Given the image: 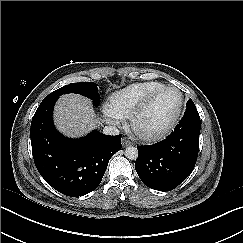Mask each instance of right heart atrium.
Masks as SVG:
<instances>
[{
    "mask_svg": "<svg viewBox=\"0 0 243 243\" xmlns=\"http://www.w3.org/2000/svg\"><path fill=\"white\" fill-rule=\"evenodd\" d=\"M104 117L107 121L112 126H119L122 122V117L115 113L112 109L105 107L103 109Z\"/></svg>",
    "mask_w": 243,
    "mask_h": 243,
    "instance_id": "obj_1",
    "label": "right heart atrium"
}]
</instances>
